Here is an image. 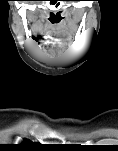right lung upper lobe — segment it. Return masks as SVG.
Here are the masks:
<instances>
[{
	"instance_id": "right-lung-upper-lobe-1",
	"label": "right lung upper lobe",
	"mask_w": 118,
	"mask_h": 151,
	"mask_svg": "<svg viewBox=\"0 0 118 151\" xmlns=\"http://www.w3.org/2000/svg\"><path fill=\"white\" fill-rule=\"evenodd\" d=\"M33 143L29 140H24L22 144H20V147H23V148H30V147H33Z\"/></svg>"
}]
</instances>
